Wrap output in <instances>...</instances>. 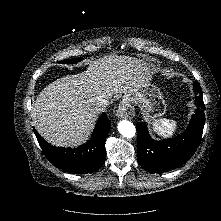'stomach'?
I'll list each match as a JSON object with an SVG mask.
<instances>
[{
  "label": "stomach",
  "mask_w": 221,
  "mask_h": 221,
  "mask_svg": "<svg viewBox=\"0 0 221 221\" xmlns=\"http://www.w3.org/2000/svg\"><path fill=\"white\" fill-rule=\"evenodd\" d=\"M124 99L131 103H140L143 114L148 119L159 118L166 111L163 96L153 85L142 84L133 93L125 95Z\"/></svg>",
  "instance_id": "1"
}]
</instances>
